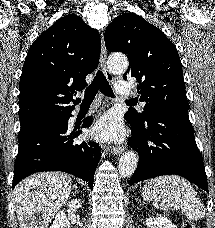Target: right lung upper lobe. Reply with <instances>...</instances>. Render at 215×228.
<instances>
[{
    "instance_id": "right-lung-upper-lobe-1",
    "label": "right lung upper lobe",
    "mask_w": 215,
    "mask_h": 228,
    "mask_svg": "<svg viewBox=\"0 0 215 228\" xmlns=\"http://www.w3.org/2000/svg\"><path fill=\"white\" fill-rule=\"evenodd\" d=\"M100 35L79 16L68 14L44 31L31 45L19 83L21 123L49 115L66 114L75 90L96 69ZM76 95V94H75Z\"/></svg>"
}]
</instances>
